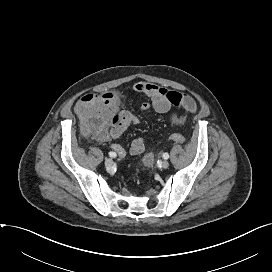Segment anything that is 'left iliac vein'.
Masks as SVG:
<instances>
[{"label":"left iliac vein","mask_w":272,"mask_h":272,"mask_svg":"<svg viewBox=\"0 0 272 272\" xmlns=\"http://www.w3.org/2000/svg\"><path fill=\"white\" fill-rule=\"evenodd\" d=\"M162 167H163L164 169L168 168V167H169V162L166 161V160H164V161L162 162Z\"/></svg>","instance_id":"4c4485c4"}]
</instances>
